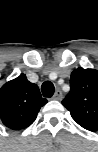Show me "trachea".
Instances as JSON below:
<instances>
[{
  "label": "trachea",
  "instance_id": "1",
  "mask_svg": "<svg viewBox=\"0 0 98 152\" xmlns=\"http://www.w3.org/2000/svg\"><path fill=\"white\" fill-rule=\"evenodd\" d=\"M41 91L44 97H52L55 91V87L52 82L46 81L42 84Z\"/></svg>",
  "mask_w": 98,
  "mask_h": 152
}]
</instances>
